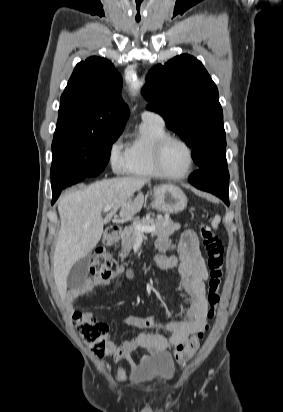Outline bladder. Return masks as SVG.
<instances>
[{
  "mask_svg": "<svg viewBox=\"0 0 283 412\" xmlns=\"http://www.w3.org/2000/svg\"><path fill=\"white\" fill-rule=\"evenodd\" d=\"M175 376V364L169 357L152 363L146 370L133 375L136 383H148L154 379L171 381Z\"/></svg>",
  "mask_w": 283,
  "mask_h": 412,
  "instance_id": "31cf9c89",
  "label": "bladder"
}]
</instances>
